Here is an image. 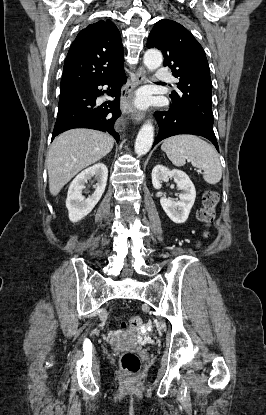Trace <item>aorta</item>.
<instances>
[{"label":"aorta","mask_w":266,"mask_h":415,"mask_svg":"<svg viewBox=\"0 0 266 415\" xmlns=\"http://www.w3.org/2000/svg\"><path fill=\"white\" fill-rule=\"evenodd\" d=\"M163 61L160 51L149 49L144 54L143 62L149 71H153L161 66ZM154 140V127L151 122H146L140 129L136 142L135 152L138 155H145L151 148Z\"/></svg>","instance_id":"aorta-1"}]
</instances>
